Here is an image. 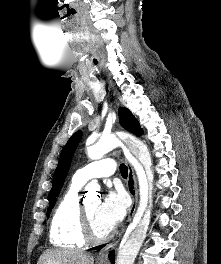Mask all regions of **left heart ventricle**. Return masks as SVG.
<instances>
[{
    "label": "left heart ventricle",
    "instance_id": "b2bd125f",
    "mask_svg": "<svg viewBox=\"0 0 221 264\" xmlns=\"http://www.w3.org/2000/svg\"><path fill=\"white\" fill-rule=\"evenodd\" d=\"M84 204L94 233L98 236L106 234L110 229L102 222V220L98 216V207L100 205L99 200L96 198L88 199Z\"/></svg>",
    "mask_w": 221,
    "mask_h": 264
}]
</instances>
